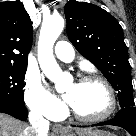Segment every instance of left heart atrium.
I'll list each match as a JSON object with an SVG mask.
<instances>
[{
  "mask_svg": "<svg viewBox=\"0 0 136 136\" xmlns=\"http://www.w3.org/2000/svg\"><path fill=\"white\" fill-rule=\"evenodd\" d=\"M66 100H67L69 103H71L72 98H71V96H70L69 94H67V96H66Z\"/></svg>",
  "mask_w": 136,
  "mask_h": 136,
  "instance_id": "obj_1",
  "label": "left heart atrium"
}]
</instances>
